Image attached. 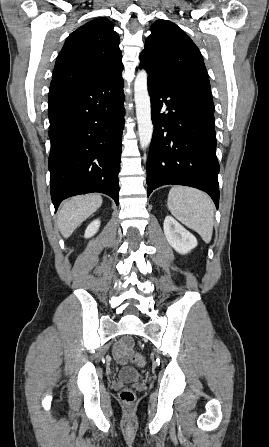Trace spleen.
<instances>
[{"mask_svg": "<svg viewBox=\"0 0 269 447\" xmlns=\"http://www.w3.org/2000/svg\"><path fill=\"white\" fill-rule=\"evenodd\" d=\"M167 206L174 218L195 229L209 243L214 224V206L211 198L185 186H173L168 194Z\"/></svg>", "mask_w": 269, "mask_h": 447, "instance_id": "3e777b00", "label": "spleen"}]
</instances>
